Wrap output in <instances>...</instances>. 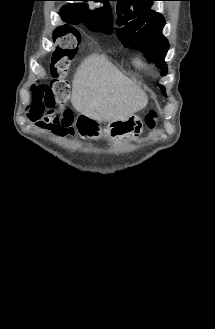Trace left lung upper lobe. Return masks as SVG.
Returning a JSON list of instances; mask_svg holds the SVG:
<instances>
[{
    "label": "left lung upper lobe",
    "mask_w": 215,
    "mask_h": 329,
    "mask_svg": "<svg viewBox=\"0 0 215 329\" xmlns=\"http://www.w3.org/2000/svg\"><path fill=\"white\" fill-rule=\"evenodd\" d=\"M118 25L117 35L126 47L138 48L146 57L161 69L164 76L167 73L165 55L169 43L162 34L165 25L164 17L150 9L153 1L157 0H117ZM134 6V11L125 10V7ZM165 95V88L160 85Z\"/></svg>",
    "instance_id": "5c2ea615"
}]
</instances>
